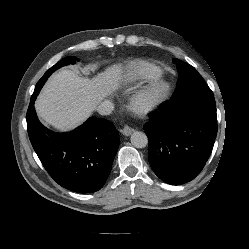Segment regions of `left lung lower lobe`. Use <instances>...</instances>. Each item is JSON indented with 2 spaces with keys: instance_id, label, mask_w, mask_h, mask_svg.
Returning <instances> with one entry per match:
<instances>
[{
  "instance_id": "obj_1",
  "label": "left lung lower lobe",
  "mask_w": 249,
  "mask_h": 249,
  "mask_svg": "<svg viewBox=\"0 0 249 249\" xmlns=\"http://www.w3.org/2000/svg\"><path fill=\"white\" fill-rule=\"evenodd\" d=\"M170 101L144 125L148 159L155 174L171 185L194 179L205 166L217 135L216 104L170 110Z\"/></svg>"
}]
</instances>
